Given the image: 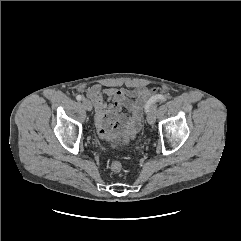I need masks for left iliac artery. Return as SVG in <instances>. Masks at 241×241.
<instances>
[{
    "label": "left iliac artery",
    "mask_w": 241,
    "mask_h": 241,
    "mask_svg": "<svg viewBox=\"0 0 241 241\" xmlns=\"http://www.w3.org/2000/svg\"><path fill=\"white\" fill-rule=\"evenodd\" d=\"M166 100V96L164 95H157L155 98H153L151 100V102L146 106V112L149 111V108L151 107V105L154 103V102H157V101H165Z\"/></svg>",
    "instance_id": "left-iliac-artery-1"
}]
</instances>
